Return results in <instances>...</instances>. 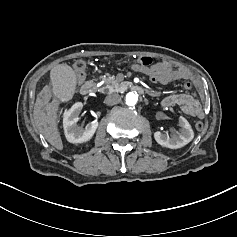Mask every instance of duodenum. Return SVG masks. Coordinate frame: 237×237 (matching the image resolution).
Listing matches in <instances>:
<instances>
[{"mask_svg": "<svg viewBox=\"0 0 237 237\" xmlns=\"http://www.w3.org/2000/svg\"><path fill=\"white\" fill-rule=\"evenodd\" d=\"M97 84L93 79L86 80L81 86V93L83 95H90L96 91ZM133 89L138 93H143L144 88L140 85H134Z\"/></svg>", "mask_w": 237, "mask_h": 237, "instance_id": "410a0bca", "label": "duodenum"}]
</instances>
